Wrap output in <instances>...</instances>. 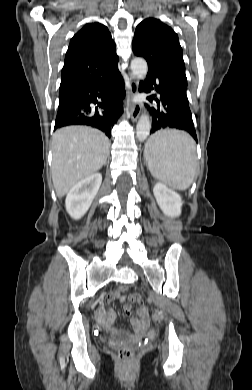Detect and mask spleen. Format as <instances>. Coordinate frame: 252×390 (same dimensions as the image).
<instances>
[{"instance_id": "obj_1", "label": "spleen", "mask_w": 252, "mask_h": 390, "mask_svg": "<svg viewBox=\"0 0 252 390\" xmlns=\"http://www.w3.org/2000/svg\"><path fill=\"white\" fill-rule=\"evenodd\" d=\"M144 156L151 174L173 189L185 190L196 171V146L185 132L165 130L153 134Z\"/></svg>"}]
</instances>
